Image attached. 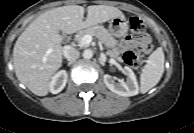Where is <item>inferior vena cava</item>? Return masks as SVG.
I'll use <instances>...</instances> for the list:
<instances>
[{
    "label": "inferior vena cava",
    "mask_w": 194,
    "mask_h": 133,
    "mask_svg": "<svg viewBox=\"0 0 194 133\" xmlns=\"http://www.w3.org/2000/svg\"><path fill=\"white\" fill-rule=\"evenodd\" d=\"M63 55L69 60H76L79 58L80 52L72 46H65L63 50Z\"/></svg>",
    "instance_id": "obj_1"
}]
</instances>
